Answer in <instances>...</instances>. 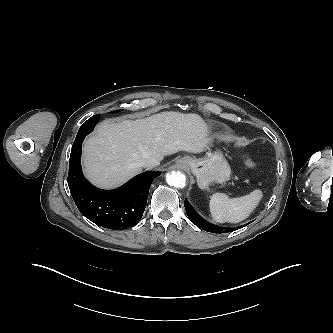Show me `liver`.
I'll list each match as a JSON object with an SVG mask.
<instances>
[{"instance_id": "obj_1", "label": "liver", "mask_w": 333, "mask_h": 333, "mask_svg": "<svg viewBox=\"0 0 333 333\" xmlns=\"http://www.w3.org/2000/svg\"><path fill=\"white\" fill-rule=\"evenodd\" d=\"M210 142L197 114L169 111L119 123L103 121L83 146L86 177L104 189L116 188L141 172V161H158L178 151L201 153Z\"/></svg>"}]
</instances>
